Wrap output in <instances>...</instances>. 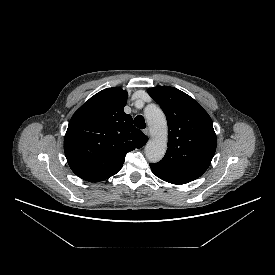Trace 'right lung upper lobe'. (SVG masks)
<instances>
[{
	"label": "right lung upper lobe",
	"mask_w": 275,
	"mask_h": 275,
	"mask_svg": "<svg viewBox=\"0 0 275 275\" xmlns=\"http://www.w3.org/2000/svg\"><path fill=\"white\" fill-rule=\"evenodd\" d=\"M127 98L128 93L121 88H107L72 116L64 138V152L78 177L99 182L115 175L126 154L148 141L123 110Z\"/></svg>",
	"instance_id": "right-lung-upper-lobe-1"
}]
</instances>
